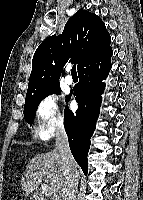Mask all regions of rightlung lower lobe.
Masks as SVG:
<instances>
[{
    "label": "right lung lower lobe",
    "mask_w": 143,
    "mask_h": 200,
    "mask_svg": "<svg viewBox=\"0 0 143 200\" xmlns=\"http://www.w3.org/2000/svg\"><path fill=\"white\" fill-rule=\"evenodd\" d=\"M111 47L101 55L89 60L78 71L79 82L74 87V97L78 103L76 112L65 107L64 125L73 157L82 168L88 172L87 155L90 148V138L96 127L100 112L101 94L105 89L106 79L111 69ZM72 93L67 96L68 102Z\"/></svg>",
    "instance_id": "1"
}]
</instances>
